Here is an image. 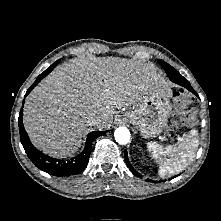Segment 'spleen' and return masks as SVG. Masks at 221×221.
I'll return each instance as SVG.
<instances>
[{
	"label": "spleen",
	"mask_w": 221,
	"mask_h": 221,
	"mask_svg": "<svg viewBox=\"0 0 221 221\" xmlns=\"http://www.w3.org/2000/svg\"><path fill=\"white\" fill-rule=\"evenodd\" d=\"M199 145L198 132L192 129L190 133L177 144L162 146L149 142L147 149L152 158L159 163V175L171 176L184 170L195 157Z\"/></svg>",
	"instance_id": "obj_1"
}]
</instances>
